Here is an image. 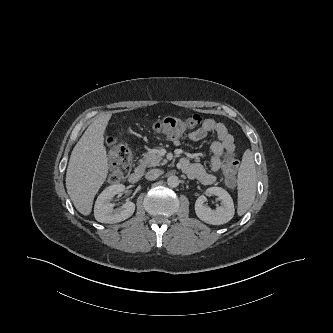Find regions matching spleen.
I'll return each mask as SVG.
<instances>
[{"mask_svg": "<svg viewBox=\"0 0 333 333\" xmlns=\"http://www.w3.org/2000/svg\"><path fill=\"white\" fill-rule=\"evenodd\" d=\"M256 195V170L253 154L246 150L238 172V215L251 207Z\"/></svg>", "mask_w": 333, "mask_h": 333, "instance_id": "obj_1", "label": "spleen"}]
</instances>
